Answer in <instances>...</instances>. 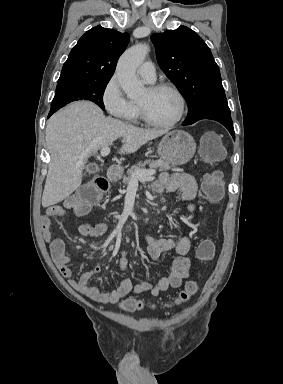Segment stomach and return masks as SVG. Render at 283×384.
<instances>
[{
	"label": "stomach",
	"instance_id": "0dacf381",
	"mask_svg": "<svg viewBox=\"0 0 283 384\" xmlns=\"http://www.w3.org/2000/svg\"><path fill=\"white\" fill-rule=\"evenodd\" d=\"M196 150L194 138L188 132L173 130L163 136L158 146V156L173 166H183L193 158Z\"/></svg>",
	"mask_w": 283,
	"mask_h": 384
}]
</instances>
